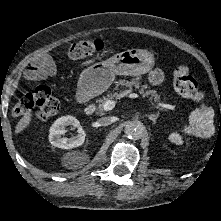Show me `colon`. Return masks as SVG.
I'll return each instance as SVG.
<instances>
[{"instance_id": "obj_1", "label": "colon", "mask_w": 221, "mask_h": 221, "mask_svg": "<svg viewBox=\"0 0 221 221\" xmlns=\"http://www.w3.org/2000/svg\"><path fill=\"white\" fill-rule=\"evenodd\" d=\"M103 44L99 40H81L70 45L67 55L70 59H83L102 51ZM175 90L185 98L194 102L205 99V93L199 89L197 82L191 75L189 67L181 65L174 72ZM37 108L36 116L40 120H47L59 110V101L53 96L49 87L37 86L34 91L23 95L12 110L14 117H20Z\"/></svg>"}]
</instances>
